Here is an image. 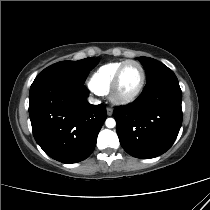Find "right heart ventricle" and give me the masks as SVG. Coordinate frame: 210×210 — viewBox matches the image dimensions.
<instances>
[{
  "mask_svg": "<svg viewBox=\"0 0 210 210\" xmlns=\"http://www.w3.org/2000/svg\"><path fill=\"white\" fill-rule=\"evenodd\" d=\"M123 62L124 60L109 62L99 67L92 74L89 80L90 88L97 94H107L109 92L113 77Z\"/></svg>",
  "mask_w": 210,
  "mask_h": 210,
  "instance_id": "1",
  "label": "right heart ventricle"
}]
</instances>
